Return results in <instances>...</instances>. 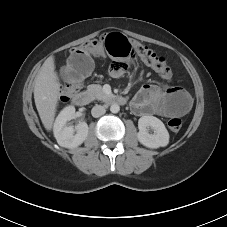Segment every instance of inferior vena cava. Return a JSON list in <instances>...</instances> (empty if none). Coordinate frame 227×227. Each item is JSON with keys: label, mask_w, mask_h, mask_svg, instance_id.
I'll list each match as a JSON object with an SVG mask.
<instances>
[{"label": "inferior vena cava", "mask_w": 227, "mask_h": 227, "mask_svg": "<svg viewBox=\"0 0 227 227\" xmlns=\"http://www.w3.org/2000/svg\"><path fill=\"white\" fill-rule=\"evenodd\" d=\"M105 112H106V110H105L104 106H101V105H96L91 110V114L95 118L104 115Z\"/></svg>", "instance_id": "1"}]
</instances>
